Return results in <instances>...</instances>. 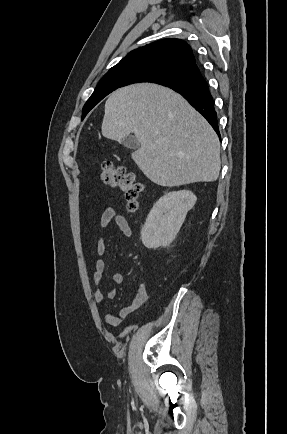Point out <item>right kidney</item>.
<instances>
[{"label":"right kidney","instance_id":"right-kidney-1","mask_svg":"<svg viewBox=\"0 0 287 434\" xmlns=\"http://www.w3.org/2000/svg\"><path fill=\"white\" fill-rule=\"evenodd\" d=\"M196 200L189 190L173 191L162 196L154 204L141 230L143 245L148 249H157L172 243Z\"/></svg>","mask_w":287,"mask_h":434}]
</instances>
